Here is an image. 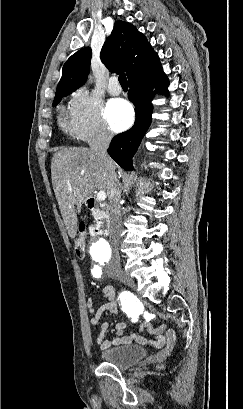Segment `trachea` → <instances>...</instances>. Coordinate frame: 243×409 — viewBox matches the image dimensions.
<instances>
[{
	"instance_id": "1",
	"label": "trachea",
	"mask_w": 243,
	"mask_h": 409,
	"mask_svg": "<svg viewBox=\"0 0 243 409\" xmlns=\"http://www.w3.org/2000/svg\"><path fill=\"white\" fill-rule=\"evenodd\" d=\"M118 80H119V83H120V85H121L122 87L128 86L127 78H126L125 73H122V74L119 76Z\"/></svg>"
}]
</instances>
